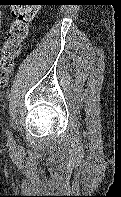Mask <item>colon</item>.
Segmentation results:
<instances>
[{"label": "colon", "instance_id": "5ec220e1", "mask_svg": "<svg viewBox=\"0 0 121 197\" xmlns=\"http://www.w3.org/2000/svg\"><path fill=\"white\" fill-rule=\"evenodd\" d=\"M34 0H12L13 21L10 23L0 56V86L7 83L15 58L28 34L30 22L36 16L37 5Z\"/></svg>", "mask_w": 121, "mask_h": 197}]
</instances>
